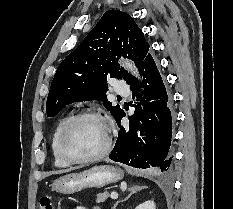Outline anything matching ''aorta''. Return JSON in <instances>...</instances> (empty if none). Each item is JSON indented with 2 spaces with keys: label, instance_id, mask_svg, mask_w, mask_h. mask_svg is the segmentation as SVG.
Instances as JSON below:
<instances>
[{
  "label": "aorta",
  "instance_id": "762f6f07",
  "mask_svg": "<svg viewBox=\"0 0 233 209\" xmlns=\"http://www.w3.org/2000/svg\"><path fill=\"white\" fill-rule=\"evenodd\" d=\"M121 66H123L126 70H128L130 73H132L133 75H135L136 77H138V71L136 66L134 65V63L132 61L129 60H125L122 59L120 61Z\"/></svg>",
  "mask_w": 233,
  "mask_h": 209
}]
</instances>
